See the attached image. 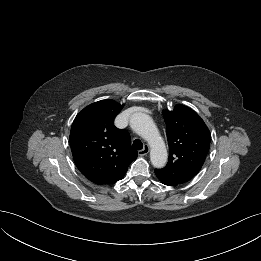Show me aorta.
<instances>
[{"label": "aorta", "mask_w": 261, "mask_h": 261, "mask_svg": "<svg viewBox=\"0 0 261 261\" xmlns=\"http://www.w3.org/2000/svg\"><path fill=\"white\" fill-rule=\"evenodd\" d=\"M132 130L145 139L150 148V160L154 167L162 168L167 163L168 153L163 138L152 118L145 113H134L130 117Z\"/></svg>", "instance_id": "obj_1"}]
</instances>
